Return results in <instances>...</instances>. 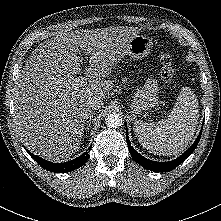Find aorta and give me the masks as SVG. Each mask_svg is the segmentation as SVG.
Returning a JSON list of instances; mask_svg holds the SVG:
<instances>
[{"label":"aorta","mask_w":221,"mask_h":221,"mask_svg":"<svg viewBox=\"0 0 221 221\" xmlns=\"http://www.w3.org/2000/svg\"><path fill=\"white\" fill-rule=\"evenodd\" d=\"M106 124L110 128H118L122 125V117L118 113H110L106 117Z\"/></svg>","instance_id":"obj_1"}]
</instances>
